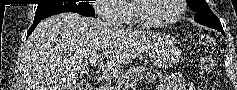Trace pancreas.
<instances>
[{"label":"pancreas","mask_w":237,"mask_h":90,"mask_svg":"<svg viewBox=\"0 0 237 90\" xmlns=\"http://www.w3.org/2000/svg\"><path fill=\"white\" fill-rule=\"evenodd\" d=\"M161 72H156V70H150V68H142V66H137V68H132L124 74L122 80L125 84L126 80H137L139 84L143 80H158Z\"/></svg>","instance_id":"cf45deb5"}]
</instances>
